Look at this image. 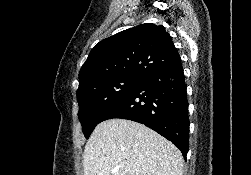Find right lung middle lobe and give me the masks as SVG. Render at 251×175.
<instances>
[{
    "label": "right lung middle lobe",
    "mask_w": 251,
    "mask_h": 175,
    "mask_svg": "<svg viewBox=\"0 0 251 175\" xmlns=\"http://www.w3.org/2000/svg\"><path fill=\"white\" fill-rule=\"evenodd\" d=\"M140 78L122 76L105 83L86 85L77 90L78 117L86 139L102 115L136 86Z\"/></svg>",
    "instance_id": "1"
}]
</instances>
